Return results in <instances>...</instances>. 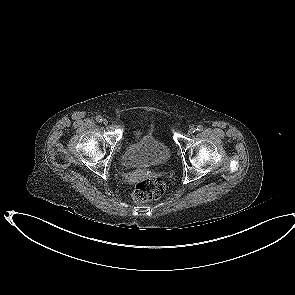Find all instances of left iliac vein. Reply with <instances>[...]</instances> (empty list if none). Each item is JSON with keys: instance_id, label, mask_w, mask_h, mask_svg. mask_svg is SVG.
Returning a JSON list of instances; mask_svg holds the SVG:
<instances>
[{"instance_id": "1", "label": "left iliac vein", "mask_w": 295, "mask_h": 295, "mask_svg": "<svg viewBox=\"0 0 295 295\" xmlns=\"http://www.w3.org/2000/svg\"><path fill=\"white\" fill-rule=\"evenodd\" d=\"M195 128L194 127H191L189 130H188V134H193L195 132Z\"/></svg>"}]
</instances>
